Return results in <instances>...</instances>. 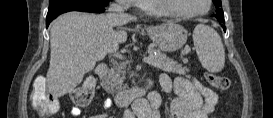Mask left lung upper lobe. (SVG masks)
Instances as JSON below:
<instances>
[{
    "label": "left lung upper lobe",
    "mask_w": 273,
    "mask_h": 118,
    "mask_svg": "<svg viewBox=\"0 0 273 118\" xmlns=\"http://www.w3.org/2000/svg\"><path fill=\"white\" fill-rule=\"evenodd\" d=\"M213 1V3L215 4V6H216V8H217V10H216V18L218 19V20H221L222 22H224V13H223V11H222V9H221V0H212Z\"/></svg>",
    "instance_id": "5c2ea615"
}]
</instances>
